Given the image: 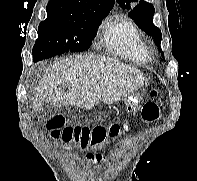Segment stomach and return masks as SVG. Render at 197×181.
I'll list each match as a JSON object with an SVG mask.
<instances>
[{
	"label": "stomach",
	"instance_id": "1",
	"mask_svg": "<svg viewBox=\"0 0 197 181\" xmlns=\"http://www.w3.org/2000/svg\"><path fill=\"white\" fill-rule=\"evenodd\" d=\"M140 94L137 93L135 95L128 96L124 99L126 107L129 109H135L138 106Z\"/></svg>",
	"mask_w": 197,
	"mask_h": 181
}]
</instances>
